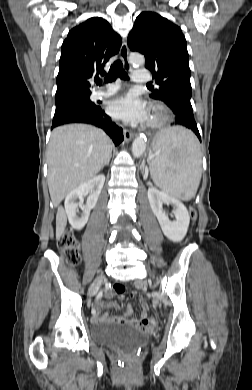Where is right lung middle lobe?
<instances>
[{"label": "right lung middle lobe", "instance_id": "right-lung-middle-lobe-1", "mask_svg": "<svg viewBox=\"0 0 252 390\" xmlns=\"http://www.w3.org/2000/svg\"><path fill=\"white\" fill-rule=\"evenodd\" d=\"M69 103H82L85 105L93 106L94 103L90 101V95H82V96H77L73 98H69L66 100H61V101H55L56 107H60Z\"/></svg>", "mask_w": 252, "mask_h": 390}]
</instances>
